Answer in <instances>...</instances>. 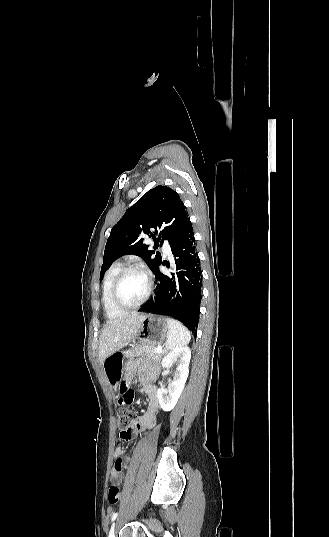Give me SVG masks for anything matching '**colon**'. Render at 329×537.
<instances>
[{
    "instance_id": "1",
    "label": "colon",
    "mask_w": 329,
    "mask_h": 537,
    "mask_svg": "<svg viewBox=\"0 0 329 537\" xmlns=\"http://www.w3.org/2000/svg\"><path fill=\"white\" fill-rule=\"evenodd\" d=\"M120 404V403H119ZM121 405V404H120ZM136 422L135 414L128 410L122 409L118 415V430L127 431L129 433L130 429L134 426ZM121 491L117 485H111L108 490V500L111 504H116L120 500Z\"/></svg>"
}]
</instances>
